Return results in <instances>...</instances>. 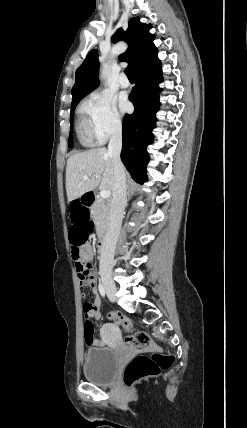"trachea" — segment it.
Wrapping results in <instances>:
<instances>
[{
  "mask_svg": "<svg viewBox=\"0 0 247 428\" xmlns=\"http://www.w3.org/2000/svg\"><path fill=\"white\" fill-rule=\"evenodd\" d=\"M125 73H126V75H127V77H128L129 80H133V74H132L131 69L126 68L125 69Z\"/></svg>",
  "mask_w": 247,
  "mask_h": 428,
  "instance_id": "3493384b",
  "label": "trachea"
}]
</instances>
